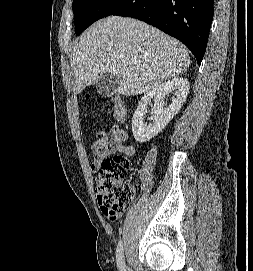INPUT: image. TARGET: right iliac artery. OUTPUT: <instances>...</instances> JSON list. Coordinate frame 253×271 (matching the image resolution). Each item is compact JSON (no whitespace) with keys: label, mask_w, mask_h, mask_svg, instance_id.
I'll list each match as a JSON object with an SVG mask.
<instances>
[{"label":"right iliac artery","mask_w":253,"mask_h":271,"mask_svg":"<svg viewBox=\"0 0 253 271\" xmlns=\"http://www.w3.org/2000/svg\"><path fill=\"white\" fill-rule=\"evenodd\" d=\"M116 260H117V265L120 271H126V265L124 261V255H123V243L120 240L118 245H117V250H116Z\"/></svg>","instance_id":"obj_1"}]
</instances>
